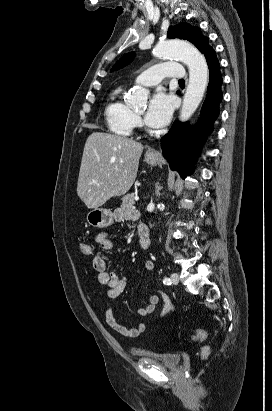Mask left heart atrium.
Instances as JSON below:
<instances>
[{"mask_svg":"<svg viewBox=\"0 0 272 411\" xmlns=\"http://www.w3.org/2000/svg\"><path fill=\"white\" fill-rule=\"evenodd\" d=\"M173 98L164 91L156 92L151 98L146 114V123L153 128L165 126L173 112Z\"/></svg>","mask_w":272,"mask_h":411,"instance_id":"39dd6f15","label":"left heart atrium"}]
</instances>
